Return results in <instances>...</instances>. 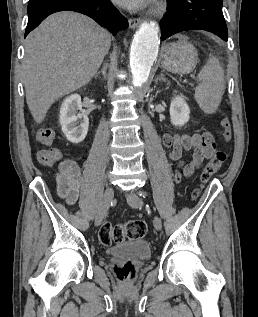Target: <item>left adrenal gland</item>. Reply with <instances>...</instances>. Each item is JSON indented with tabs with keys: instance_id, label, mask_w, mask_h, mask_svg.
Returning <instances> with one entry per match:
<instances>
[{
	"instance_id": "a2214340",
	"label": "left adrenal gland",
	"mask_w": 258,
	"mask_h": 317,
	"mask_svg": "<svg viewBox=\"0 0 258 317\" xmlns=\"http://www.w3.org/2000/svg\"><path fill=\"white\" fill-rule=\"evenodd\" d=\"M158 80H164V82H166V78H164L163 72H160L159 76H156L155 84H157Z\"/></svg>"
}]
</instances>
